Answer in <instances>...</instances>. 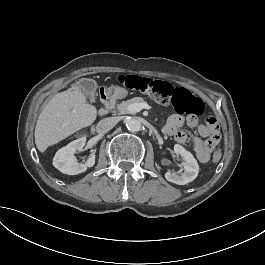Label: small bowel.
Returning a JSON list of instances; mask_svg holds the SVG:
<instances>
[{"instance_id": "small-bowel-1", "label": "small bowel", "mask_w": 265, "mask_h": 265, "mask_svg": "<svg viewBox=\"0 0 265 265\" xmlns=\"http://www.w3.org/2000/svg\"><path fill=\"white\" fill-rule=\"evenodd\" d=\"M187 124L191 128H197L199 135H189L183 130ZM163 133L171 136L178 144H186L191 141L196 158L201 163H207L215 147L220 142V132L217 123H205L198 125L194 117L184 118L181 115H171L163 127Z\"/></svg>"}]
</instances>
